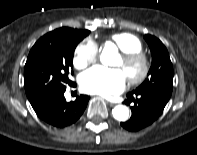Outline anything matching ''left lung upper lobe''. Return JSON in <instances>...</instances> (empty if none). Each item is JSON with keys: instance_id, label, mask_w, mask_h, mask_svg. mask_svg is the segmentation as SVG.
Wrapping results in <instances>:
<instances>
[{"instance_id": "left-lung-upper-lobe-1", "label": "left lung upper lobe", "mask_w": 197, "mask_h": 155, "mask_svg": "<svg viewBox=\"0 0 197 155\" xmlns=\"http://www.w3.org/2000/svg\"><path fill=\"white\" fill-rule=\"evenodd\" d=\"M151 54L152 64L146 80L134 91L155 94L169 100L173 89V66L164 44L155 36L145 35Z\"/></svg>"}]
</instances>
